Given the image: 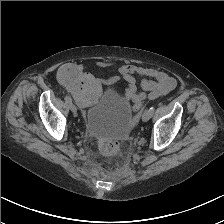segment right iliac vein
<instances>
[{
  "label": "right iliac vein",
  "instance_id": "63e3f726",
  "mask_svg": "<svg viewBox=\"0 0 224 224\" xmlns=\"http://www.w3.org/2000/svg\"><path fill=\"white\" fill-rule=\"evenodd\" d=\"M70 110H71L73 113H76V111H77V108H76V106H75L73 103H70Z\"/></svg>",
  "mask_w": 224,
  "mask_h": 224
}]
</instances>
